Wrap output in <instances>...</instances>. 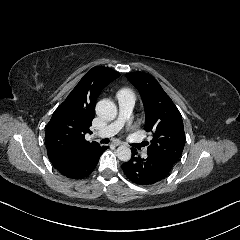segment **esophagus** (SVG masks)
Segmentation results:
<instances>
[{
  "mask_svg": "<svg viewBox=\"0 0 240 240\" xmlns=\"http://www.w3.org/2000/svg\"><path fill=\"white\" fill-rule=\"evenodd\" d=\"M123 144H125V143H123V142H121V141H118V142L116 143L117 146L123 145Z\"/></svg>",
  "mask_w": 240,
  "mask_h": 240,
  "instance_id": "obj_1",
  "label": "esophagus"
}]
</instances>
